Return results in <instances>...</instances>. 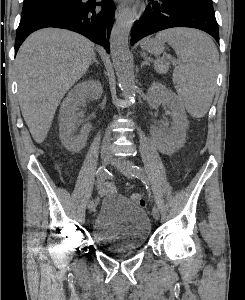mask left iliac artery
Listing matches in <instances>:
<instances>
[{"label":"left iliac artery","mask_w":245,"mask_h":300,"mask_svg":"<svg viewBox=\"0 0 245 300\" xmlns=\"http://www.w3.org/2000/svg\"><path fill=\"white\" fill-rule=\"evenodd\" d=\"M135 168L137 171L136 177L141 179L145 175L144 170L139 166H135Z\"/></svg>","instance_id":"44dca946"}]
</instances>
